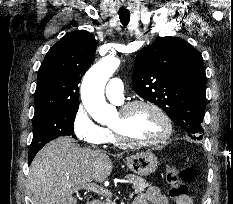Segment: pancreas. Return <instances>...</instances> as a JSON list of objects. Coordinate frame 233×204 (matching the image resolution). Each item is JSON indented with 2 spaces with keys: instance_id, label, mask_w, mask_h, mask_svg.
<instances>
[{
  "instance_id": "1",
  "label": "pancreas",
  "mask_w": 233,
  "mask_h": 204,
  "mask_svg": "<svg viewBox=\"0 0 233 204\" xmlns=\"http://www.w3.org/2000/svg\"><path fill=\"white\" fill-rule=\"evenodd\" d=\"M126 179H128L133 183V189L136 194H140L144 192L147 187L151 186V184H149L146 180L133 174L126 175ZM101 204H114V203L111 201H107Z\"/></svg>"
}]
</instances>
